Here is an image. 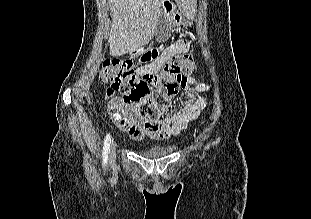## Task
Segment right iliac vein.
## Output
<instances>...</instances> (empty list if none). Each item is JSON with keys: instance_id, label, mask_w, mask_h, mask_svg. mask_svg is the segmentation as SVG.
I'll list each match as a JSON object with an SVG mask.
<instances>
[{"instance_id": "63e3f726", "label": "right iliac vein", "mask_w": 311, "mask_h": 219, "mask_svg": "<svg viewBox=\"0 0 311 219\" xmlns=\"http://www.w3.org/2000/svg\"><path fill=\"white\" fill-rule=\"evenodd\" d=\"M115 147H116V145L113 142L112 145H111V149L109 150V160H110V163H113L115 161V158H116Z\"/></svg>"}]
</instances>
